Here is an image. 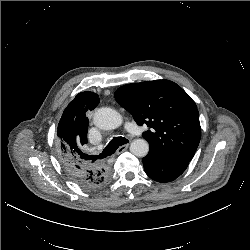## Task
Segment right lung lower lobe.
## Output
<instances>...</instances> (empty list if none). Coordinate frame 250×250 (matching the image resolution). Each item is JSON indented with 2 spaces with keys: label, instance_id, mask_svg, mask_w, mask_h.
Returning a JSON list of instances; mask_svg holds the SVG:
<instances>
[{
  "label": "right lung lower lobe",
  "instance_id": "right-lung-lower-lobe-1",
  "mask_svg": "<svg viewBox=\"0 0 250 250\" xmlns=\"http://www.w3.org/2000/svg\"><path fill=\"white\" fill-rule=\"evenodd\" d=\"M65 171L76 184L86 189H93L103 185L110 175L109 170L99 173H96L91 169H83L78 171H70L65 169Z\"/></svg>",
  "mask_w": 250,
  "mask_h": 250
}]
</instances>
